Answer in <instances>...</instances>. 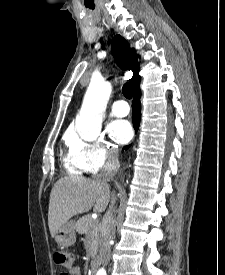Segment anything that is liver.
<instances>
[{"instance_id": "1", "label": "liver", "mask_w": 225, "mask_h": 275, "mask_svg": "<svg viewBox=\"0 0 225 275\" xmlns=\"http://www.w3.org/2000/svg\"><path fill=\"white\" fill-rule=\"evenodd\" d=\"M110 190L101 178L86 179L81 176H66L59 179L50 193L48 225L51 236L77 214L106 209Z\"/></svg>"}]
</instances>
